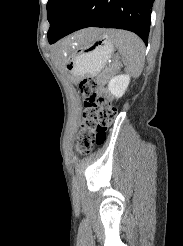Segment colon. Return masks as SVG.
Returning <instances> with one entry per match:
<instances>
[{"instance_id": "1", "label": "colon", "mask_w": 183, "mask_h": 246, "mask_svg": "<svg viewBox=\"0 0 183 246\" xmlns=\"http://www.w3.org/2000/svg\"><path fill=\"white\" fill-rule=\"evenodd\" d=\"M79 88L83 111L76 147L79 153L88 154L94 145L103 143L107 129L115 120L117 112L96 79H83Z\"/></svg>"}]
</instances>
